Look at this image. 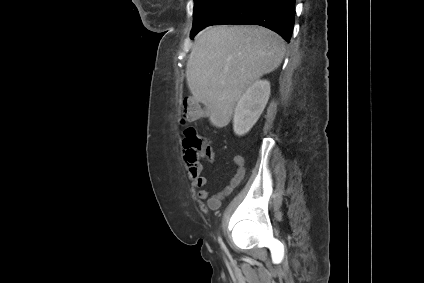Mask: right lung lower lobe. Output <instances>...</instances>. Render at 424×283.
Here are the masks:
<instances>
[{
    "instance_id": "right-lung-lower-lobe-1",
    "label": "right lung lower lobe",
    "mask_w": 424,
    "mask_h": 283,
    "mask_svg": "<svg viewBox=\"0 0 424 283\" xmlns=\"http://www.w3.org/2000/svg\"><path fill=\"white\" fill-rule=\"evenodd\" d=\"M294 19L295 0H228L201 29L214 24L260 25L290 42Z\"/></svg>"
}]
</instances>
